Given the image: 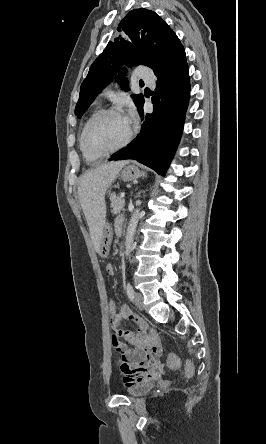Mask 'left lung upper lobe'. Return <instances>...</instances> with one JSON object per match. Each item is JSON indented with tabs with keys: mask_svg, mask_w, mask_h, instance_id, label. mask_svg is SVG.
Instances as JSON below:
<instances>
[{
	"mask_svg": "<svg viewBox=\"0 0 266 444\" xmlns=\"http://www.w3.org/2000/svg\"><path fill=\"white\" fill-rule=\"evenodd\" d=\"M118 31L122 32V36L108 43L81 84L75 107L78 118L123 65L132 67L142 64L156 74L185 52L174 31L151 10L140 8L130 11L120 22ZM125 71L123 68L121 73L124 75ZM118 79L122 87L127 89L125 78L119 75ZM132 98L139 109L144 100L143 95H132Z\"/></svg>",
	"mask_w": 266,
	"mask_h": 444,
	"instance_id": "left-lung-upper-lobe-1",
	"label": "left lung upper lobe"
}]
</instances>
